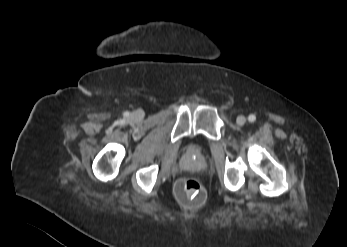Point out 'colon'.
I'll list each match as a JSON object with an SVG mask.
<instances>
[{"label":"colon","mask_w":347,"mask_h":247,"mask_svg":"<svg viewBox=\"0 0 347 247\" xmlns=\"http://www.w3.org/2000/svg\"><path fill=\"white\" fill-rule=\"evenodd\" d=\"M177 195L180 201L189 206H200L206 198L202 183L193 177H184L178 181Z\"/></svg>","instance_id":"obj_1"}]
</instances>
